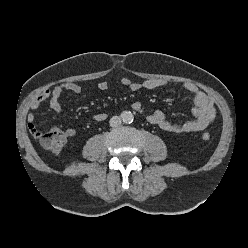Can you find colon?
I'll list each match as a JSON object with an SVG mask.
<instances>
[{"instance_id":"1","label":"colon","mask_w":248,"mask_h":248,"mask_svg":"<svg viewBox=\"0 0 248 248\" xmlns=\"http://www.w3.org/2000/svg\"><path fill=\"white\" fill-rule=\"evenodd\" d=\"M202 139L208 141L210 139V134L208 132L203 133ZM39 140L46 149L53 153L61 151L67 142L66 135L56 127L51 128L46 133H41Z\"/></svg>"}]
</instances>
